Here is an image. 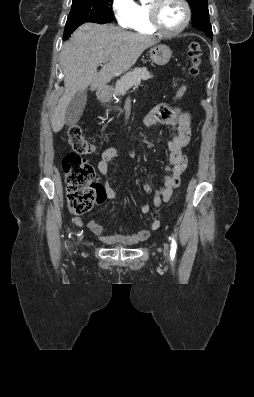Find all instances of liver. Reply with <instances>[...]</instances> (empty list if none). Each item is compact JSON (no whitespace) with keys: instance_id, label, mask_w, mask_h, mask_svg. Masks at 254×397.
<instances>
[{"instance_id":"6515ba94","label":"liver","mask_w":254,"mask_h":397,"mask_svg":"<svg viewBox=\"0 0 254 397\" xmlns=\"http://www.w3.org/2000/svg\"><path fill=\"white\" fill-rule=\"evenodd\" d=\"M158 42L114 25L85 23L76 29L60 53L65 91L53 111L52 130L59 132L63 128L67 107L78 92L88 86L92 91L102 88L115 75L129 70L144 50ZM104 61L107 64L97 72Z\"/></svg>"}]
</instances>
